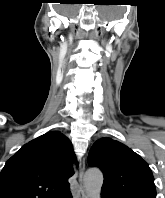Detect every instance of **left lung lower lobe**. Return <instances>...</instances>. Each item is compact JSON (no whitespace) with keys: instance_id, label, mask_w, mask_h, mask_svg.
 Returning <instances> with one entry per match:
<instances>
[{"instance_id":"obj_1","label":"left lung lower lobe","mask_w":165,"mask_h":198,"mask_svg":"<svg viewBox=\"0 0 165 198\" xmlns=\"http://www.w3.org/2000/svg\"><path fill=\"white\" fill-rule=\"evenodd\" d=\"M101 198H118V197L113 192L102 189Z\"/></svg>"}]
</instances>
